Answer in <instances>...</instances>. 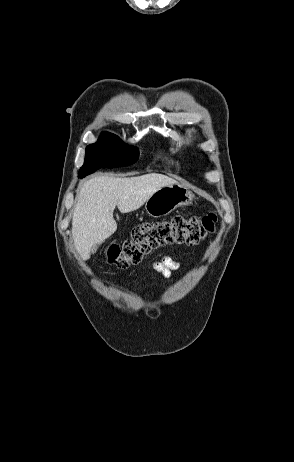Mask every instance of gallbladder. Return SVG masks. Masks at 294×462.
<instances>
[{
    "label": "gallbladder",
    "mask_w": 294,
    "mask_h": 462,
    "mask_svg": "<svg viewBox=\"0 0 294 462\" xmlns=\"http://www.w3.org/2000/svg\"><path fill=\"white\" fill-rule=\"evenodd\" d=\"M96 251H97V246H95V247H93V248L91 249V254H94Z\"/></svg>",
    "instance_id": "1"
}]
</instances>
